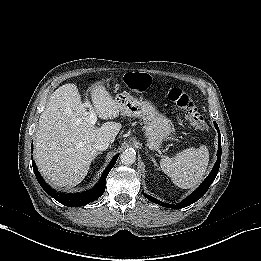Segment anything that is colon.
Segmentation results:
<instances>
[{
	"mask_svg": "<svg viewBox=\"0 0 261 261\" xmlns=\"http://www.w3.org/2000/svg\"><path fill=\"white\" fill-rule=\"evenodd\" d=\"M128 85L136 91L144 92L151 88L152 78L146 73H132L127 77ZM168 100L185 112L189 121L197 128L205 127L204 117L198 112L192 97L178 87H169L165 91Z\"/></svg>",
	"mask_w": 261,
	"mask_h": 261,
	"instance_id": "1",
	"label": "colon"
}]
</instances>
